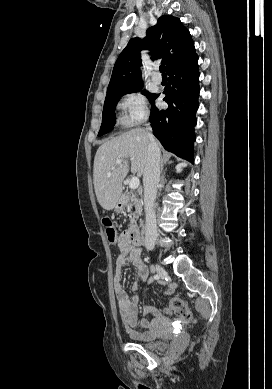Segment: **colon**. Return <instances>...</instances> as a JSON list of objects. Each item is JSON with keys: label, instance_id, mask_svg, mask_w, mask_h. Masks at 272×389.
I'll use <instances>...</instances> for the list:
<instances>
[{"label": "colon", "instance_id": "1", "mask_svg": "<svg viewBox=\"0 0 272 389\" xmlns=\"http://www.w3.org/2000/svg\"><path fill=\"white\" fill-rule=\"evenodd\" d=\"M104 226L108 242L110 244H116L118 242V235L113 223L106 219L104 221ZM169 310L174 313L183 323L192 324L196 321L192 311L181 298H172L169 303Z\"/></svg>", "mask_w": 272, "mask_h": 389}]
</instances>
